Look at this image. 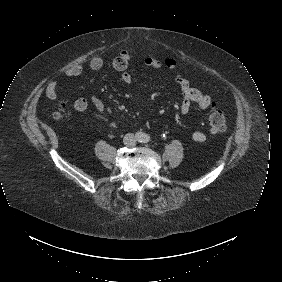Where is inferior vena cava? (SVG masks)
Here are the masks:
<instances>
[{
  "mask_svg": "<svg viewBox=\"0 0 282 282\" xmlns=\"http://www.w3.org/2000/svg\"><path fill=\"white\" fill-rule=\"evenodd\" d=\"M123 142L127 147H133L136 145V137L133 133H127L123 138Z\"/></svg>",
  "mask_w": 282,
  "mask_h": 282,
  "instance_id": "obj_1",
  "label": "inferior vena cava"
}]
</instances>
